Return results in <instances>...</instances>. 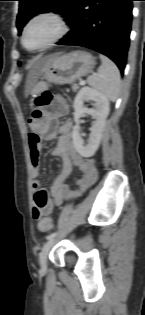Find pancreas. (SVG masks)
<instances>
[{"instance_id": "1", "label": "pancreas", "mask_w": 145, "mask_h": 315, "mask_svg": "<svg viewBox=\"0 0 145 315\" xmlns=\"http://www.w3.org/2000/svg\"><path fill=\"white\" fill-rule=\"evenodd\" d=\"M73 91H77L79 89V86L77 84L72 85Z\"/></svg>"}]
</instances>
